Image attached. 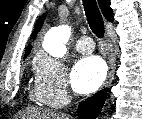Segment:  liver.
<instances>
[{
    "label": "liver",
    "mask_w": 142,
    "mask_h": 119,
    "mask_svg": "<svg viewBox=\"0 0 142 119\" xmlns=\"http://www.w3.org/2000/svg\"><path fill=\"white\" fill-rule=\"evenodd\" d=\"M22 119H70L66 114L56 113L49 110L29 109L20 116Z\"/></svg>",
    "instance_id": "liver-1"
}]
</instances>
